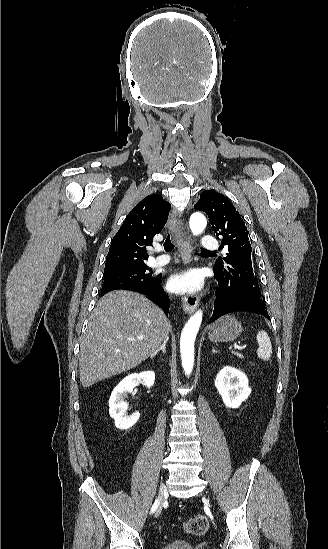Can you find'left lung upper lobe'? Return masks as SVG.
Here are the masks:
<instances>
[{
	"label": "left lung upper lobe",
	"instance_id": "obj_1",
	"mask_svg": "<svg viewBox=\"0 0 328 549\" xmlns=\"http://www.w3.org/2000/svg\"><path fill=\"white\" fill-rule=\"evenodd\" d=\"M194 208L207 213L214 232L222 237L221 248H228L227 256L216 260L215 274L226 282L251 286L261 298L252 267L248 231L233 204L223 194L209 190L200 195Z\"/></svg>",
	"mask_w": 328,
	"mask_h": 549
}]
</instances>
